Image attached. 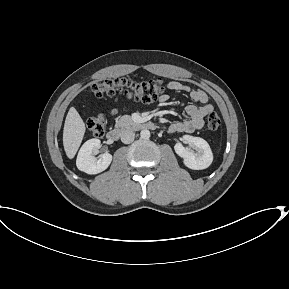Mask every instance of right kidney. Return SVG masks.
Returning a JSON list of instances; mask_svg holds the SVG:
<instances>
[{
  "label": "right kidney",
  "instance_id": "ca27d5eb",
  "mask_svg": "<svg viewBox=\"0 0 289 289\" xmlns=\"http://www.w3.org/2000/svg\"><path fill=\"white\" fill-rule=\"evenodd\" d=\"M101 147L99 139H90L86 141L79 150L76 165L80 171L87 174H98L108 168L112 161V155L109 153L102 154L96 158L94 154Z\"/></svg>",
  "mask_w": 289,
  "mask_h": 289
}]
</instances>
